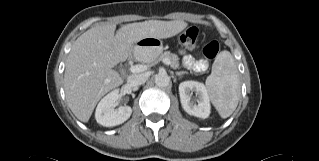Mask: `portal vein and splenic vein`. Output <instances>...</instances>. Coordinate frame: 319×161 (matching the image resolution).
<instances>
[{
    "label": "portal vein and splenic vein",
    "mask_w": 319,
    "mask_h": 161,
    "mask_svg": "<svg viewBox=\"0 0 319 161\" xmlns=\"http://www.w3.org/2000/svg\"><path fill=\"white\" fill-rule=\"evenodd\" d=\"M163 63L166 65H170V60L164 59ZM130 70L132 73H139V72H143V71L147 70V66L146 65H134V66H131Z\"/></svg>",
    "instance_id": "18ae733b"
}]
</instances>
